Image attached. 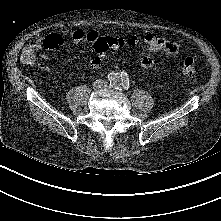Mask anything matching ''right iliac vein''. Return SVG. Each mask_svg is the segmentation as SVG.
Here are the masks:
<instances>
[{
  "label": "right iliac vein",
  "instance_id": "63e3f726",
  "mask_svg": "<svg viewBox=\"0 0 221 221\" xmlns=\"http://www.w3.org/2000/svg\"><path fill=\"white\" fill-rule=\"evenodd\" d=\"M105 83L102 81V80H97L93 83V88L94 89H100V88H103L105 87Z\"/></svg>",
  "mask_w": 221,
  "mask_h": 221
}]
</instances>
